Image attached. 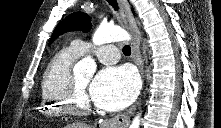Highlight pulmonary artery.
<instances>
[{"mask_svg": "<svg viewBox=\"0 0 221 128\" xmlns=\"http://www.w3.org/2000/svg\"><path fill=\"white\" fill-rule=\"evenodd\" d=\"M81 54L90 50V44L82 39H75L72 44ZM102 63H115L119 59V50L112 43H107L93 50Z\"/></svg>", "mask_w": 221, "mask_h": 128, "instance_id": "obj_1", "label": "pulmonary artery"}]
</instances>
